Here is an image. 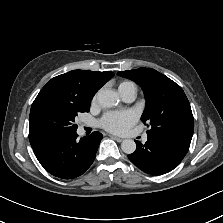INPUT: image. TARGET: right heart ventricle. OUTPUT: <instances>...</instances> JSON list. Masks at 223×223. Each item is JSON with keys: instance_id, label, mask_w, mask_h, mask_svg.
I'll list each match as a JSON object with an SVG mask.
<instances>
[{"instance_id": "right-heart-ventricle-1", "label": "right heart ventricle", "mask_w": 223, "mask_h": 223, "mask_svg": "<svg viewBox=\"0 0 223 223\" xmlns=\"http://www.w3.org/2000/svg\"><path fill=\"white\" fill-rule=\"evenodd\" d=\"M127 86H134L133 83L131 82H122L119 86V88H122V87H127ZM135 87V86H134Z\"/></svg>"}]
</instances>
